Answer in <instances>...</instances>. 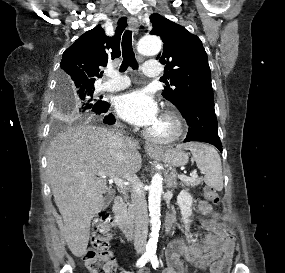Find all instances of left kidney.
<instances>
[{
    "mask_svg": "<svg viewBox=\"0 0 285 273\" xmlns=\"http://www.w3.org/2000/svg\"><path fill=\"white\" fill-rule=\"evenodd\" d=\"M177 203L180 207L182 221L185 225V228L188 229L190 224L189 217L192 214L191 206L193 203V198L188 192L181 191L177 197Z\"/></svg>",
    "mask_w": 285,
    "mask_h": 273,
    "instance_id": "1",
    "label": "left kidney"
}]
</instances>
